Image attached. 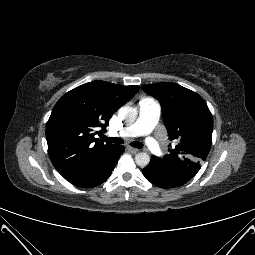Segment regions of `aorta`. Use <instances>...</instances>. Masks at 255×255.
<instances>
[{"label":"aorta","instance_id":"aorta-1","mask_svg":"<svg viewBox=\"0 0 255 255\" xmlns=\"http://www.w3.org/2000/svg\"><path fill=\"white\" fill-rule=\"evenodd\" d=\"M121 117L127 122H134L137 118V109L133 107H123L120 111ZM135 162L140 167H146L150 162V156L146 152H139L135 156Z\"/></svg>","mask_w":255,"mask_h":255}]
</instances>
